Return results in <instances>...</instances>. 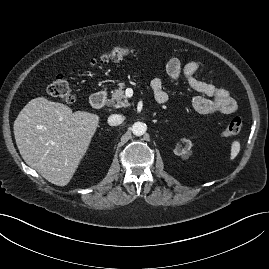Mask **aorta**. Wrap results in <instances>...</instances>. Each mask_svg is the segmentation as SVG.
Here are the masks:
<instances>
[{
    "mask_svg": "<svg viewBox=\"0 0 269 269\" xmlns=\"http://www.w3.org/2000/svg\"><path fill=\"white\" fill-rule=\"evenodd\" d=\"M132 132L136 136H142L146 132V125L142 122H135L132 125Z\"/></svg>",
    "mask_w": 269,
    "mask_h": 269,
    "instance_id": "1",
    "label": "aorta"
}]
</instances>
